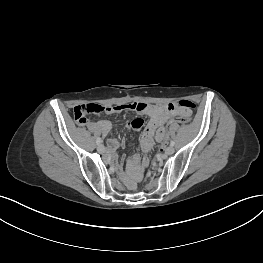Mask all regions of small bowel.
Here are the masks:
<instances>
[{
    "mask_svg": "<svg viewBox=\"0 0 263 263\" xmlns=\"http://www.w3.org/2000/svg\"><path fill=\"white\" fill-rule=\"evenodd\" d=\"M123 110L134 111L141 116L149 118L142 135V147L145 151H149L152 148L154 140L162 142V140L165 139L164 124L167 121L173 117L181 118L182 116H189L192 113V107L189 104L155 105L144 102H130L122 105L108 106L106 107L105 113L113 114ZM144 125V120L141 118H135L127 122V126L133 130H140ZM96 127L102 136H106L111 130V123L107 120H99L96 122ZM123 144V141H119L116 138L109 139L107 141V153L109 155L114 154ZM131 162L132 165H135L138 162V158H133ZM142 176L143 172H139L138 177Z\"/></svg>",
    "mask_w": 263,
    "mask_h": 263,
    "instance_id": "small-bowel-1",
    "label": "small bowel"
}]
</instances>
